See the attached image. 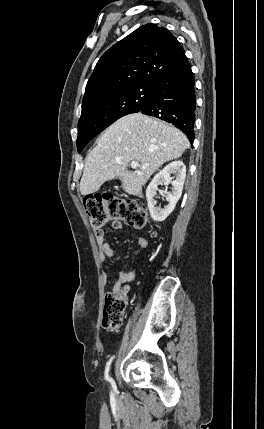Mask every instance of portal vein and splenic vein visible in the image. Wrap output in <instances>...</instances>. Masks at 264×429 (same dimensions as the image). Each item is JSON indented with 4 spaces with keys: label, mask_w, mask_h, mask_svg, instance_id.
Returning <instances> with one entry per match:
<instances>
[{
    "label": "portal vein and splenic vein",
    "mask_w": 264,
    "mask_h": 429,
    "mask_svg": "<svg viewBox=\"0 0 264 429\" xmlns=\"http://www.w3.org/2000/svg\"><path fill=\"white\" fill-rule=\"evenodd\" d=\"M130 165H131V168H133V169H138L140 167L139 163L137 161H132ZM146 167H147V165H144V166L140 167V169H145Z\"/></svg>",
    "instance_id": "18ae733b"
}]
</instances>
